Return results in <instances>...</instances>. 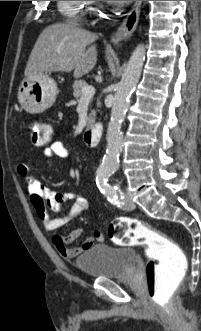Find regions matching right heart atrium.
Wrapping results in <instances>:
<instances>
[{
  "label": "right heart atrium",
  "mask_w": 201,
  "mask_h": 331,
  "mask_svg": "<svg viewBox=\"0 0 201 331\" xmlns=\"http://www.w3.org/2000/svg\"><path fill=\"white\" fill-rule=\"evenodd\" d=\"M89 4H93L95 3V1H87Z\"/></svg>",
  "instance_id": "d8ad5b80"
}]
</instances>
